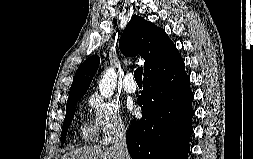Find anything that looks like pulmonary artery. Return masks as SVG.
<instances>
[{
	"mask_svg": "<svg viewBox=\"0 0 253 159\" xmlns=\"http://www.w3.org/2000/svg\"><path fill=\"white\" fill-rule=\"evenodd\" d=\"M123 89L127 93H134L137 90V85L134 82V75L133 73H127L124 80H123Z\"/></svg>",
	"mask_w": 253,
	"mask_h": 159,
	"instance_id": "e3ab8cb5",
	"label": "pulmonary artery"
}]
</instances>
